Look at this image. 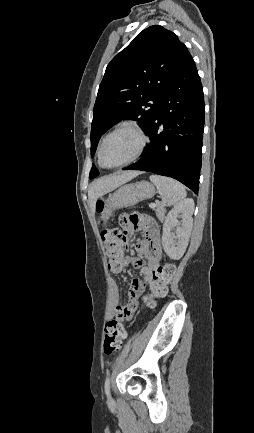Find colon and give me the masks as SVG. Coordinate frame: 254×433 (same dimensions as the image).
<instances>
[{
	"instance_id": "1",
	"label": "colon",
	"mask_w": 254,
	"mask_h": 433,
	"mask_svg": "<svg viewBox=\"0 0 254 433\" xmlns=\"http://www.w3.org/2000/svg\"><path fill=\"white\" fill-rule=\"evenodd\" d=\"M104 207L102 200L97 202V210L100 212ZM129 224L136 226L145 221V216L138 211H131L126 215ZM121 227L123 226L122 220L119 218ZM103 224L105 222L103 221ZM102 240L106 256L109 264H118L124 256L126 237L124 231L114 227H105L102 231ZM176 272V267L173 263H165L157 268L155 271V287L152 290V296L148 298L147 303L153 306V298L163 297L165 295V287L173 280ZM104 344L103 349L105 354H113L117 352L123 341L127 337L126 327L117 319H110L106 322L104 328Z\"/></svg>"
}]
</instances>
